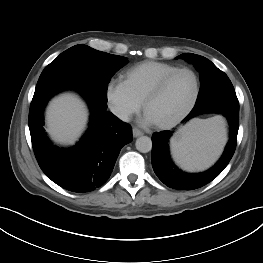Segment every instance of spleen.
Here are the masks:
<instances>
[{"label":"spleen","instance_id":"spleen-1","mask_svg":"<svg viewBox=\"0 0 263 263\" xmlns=\"http://www.w3.org/2000/svg\"><path fill=\"white\" fill-rule=\"evenodd\" d=\"M225 141V122L220 116L194 119L172 138L173 158L186 170H203L218 158Z\"/></svg>","mask_w":263,"mask_h":263}]
</instances>
